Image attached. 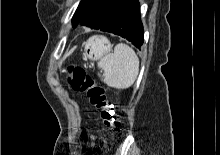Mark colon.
<instances>
[{
    "label": "colon",
    "mask_w": 220,
    "mask_h": 155,
    "mask_svg": "<svg viewBox=\"0 0 220 155\" xmlns=\"http://www.w3.org/2000/svg\"><path fill=\"white\" fill-rule=\"evenodd\" d=\"M70 87L86 95L91 107L99 112L102 122L110 128L118 129L121 121L113 106L108 102L102 86L97 84L82 68L70 66L67 69Z\"/></svg>",
    "instance_id": "colon-1"
}]
</instances>
